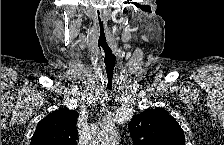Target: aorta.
Returning <instances> with one entry per match:
<instances>
[{
    "label": "aorta",
    "mask_w": 224,
    "mask_h": 145,
    "mask_svg": "<svg viewBox=\"0 0 224 145\" xmlns=\"http://www.w3.org/2000/svg\"><path fill=\"white\" fill-rule=\"evenodd\" d=\"M118 141V131L108 126L102 129L96 138L97 145H116Z\"/></svg>",
    "instance_id": "762f6f07"
}]
</instances>
